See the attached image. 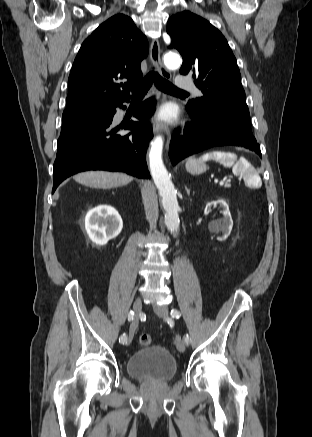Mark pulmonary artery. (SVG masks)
Here are the masks:
<instances>
[{
    "instance_id": "pulmonary-artery-1",
    "label": "pulmonary artery",
    "mask_w": 312,
    "mask_h": 437,
    "mask_svg": "<svg viewBox=\"0 0 312 437\" xmlns=\"http://www.w3.org/2000/svg\"><path fill=\"white\" fill-rule=\"evenodd\" d=\"M175 86L178 89H193L197 94H199V91L194 89L191 79L184 74L177 75L175 78Z\"/></svg>"
}]
</instances>
